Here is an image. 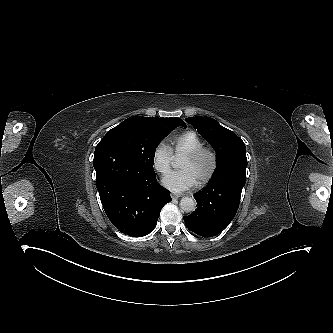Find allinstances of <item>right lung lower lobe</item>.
I'll return each instance as SVG.
<instances>
[{
	"label": "right lung lower lobe",
	"instance_id": "1",
	"mask_svg": "<svg viewBox=\"0 0 333 333\" xmlns=\"http://www.w3.org/2000/svg\"><path fill=\"white\" fill-rule=\"evenodd\" d=\"M96 187L111 223L124 234L142 237L156 226L170 192L156 181L154 170L140 165L117 143L106 141L94 153Z\"/></svg>",
	"mask_w": 333,
	"mask_h": 333
}]
</instances>
